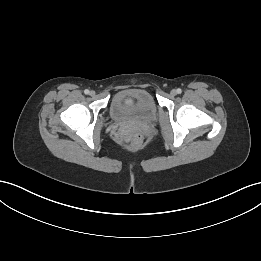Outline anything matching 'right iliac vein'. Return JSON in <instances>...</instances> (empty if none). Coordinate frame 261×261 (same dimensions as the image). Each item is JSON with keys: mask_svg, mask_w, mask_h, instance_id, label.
Masks as SVG:
<instances>
[{"mask_svg": "<svg viewBox=\"0 0 261 261\" xmlns=\"http://www.w3.org/2000/svg\"><path fill=\"white\" fill-rule=\"evenodd\" d=\"M90 95L94 96L95 95V91H90Z\"/></svg>", "mask_w": 261, "mask_h": 261, "instance_id": "63e3f726", "label": "right iliac vein"}]
</instances>
